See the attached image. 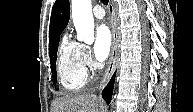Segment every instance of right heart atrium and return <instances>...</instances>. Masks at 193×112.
<instances>
[{"label": "right heart atrium", "mask_w": 193, "mask_h": 112, "mask_svg": "<svg viewBox=\"0 0 193 112\" xmlns=\"http://www.w3.org/2000/svg\"><path fill=\"white\" fill-rule=\"evenodd\" d=\"M82 62L86 69L93 70L95 67L90 50L86 45L80 44Z\"/></svg>", "instance_id": "obj_1"}]
</instances>
